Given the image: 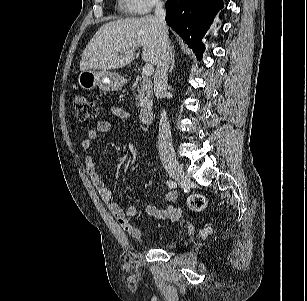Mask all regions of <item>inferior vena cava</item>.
<instances>
[{
  "mask_svg": "<svg viewBox=\"0 0 307 301\" xmlns=\"http://www.w3.org/2000/svg\"><path fill=\"white\" fill-rule=\"evenodd\" d=\"M165 16L166 12L162 3H158L155 9V17L159 20L162 28L160 56L154 75V93L158 98H164L167 95V73L172 60V49L170 47ZM158 148L161 157L174 154L170 126L165 110H162L160 115Z\"/></svg>",
  "mask_w": 307,
  "mask_h": 301,
  "instance_id": "1",
  "label": "inferior vena cava"
}]
</instances>
